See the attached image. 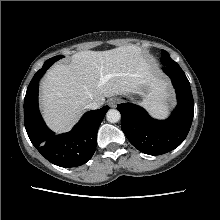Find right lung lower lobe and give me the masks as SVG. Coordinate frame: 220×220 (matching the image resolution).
Instances as JSON below:
<instances>
[{
	"label": "right lung lower lobe",
	"mask_w": 220,
	"mask_h": 220,
	"mask_svg": "<svg viewBox=\"0 0 220 220\" xmlns=\"http://www.w3.org/2000/svg\"><path fill=\"white\" fill-rule=\"evenodd\" d=\"M55 61L47 60L31 80L24 99V123L32 144L48 161L60 167H76L93 156L97 131L109 106L87 112L70 132L54 135L39 113L38 82Z\"/></svg>",
	"instance_id": "obj_1"
}]
</instances>
